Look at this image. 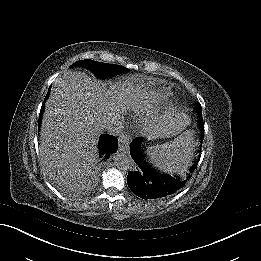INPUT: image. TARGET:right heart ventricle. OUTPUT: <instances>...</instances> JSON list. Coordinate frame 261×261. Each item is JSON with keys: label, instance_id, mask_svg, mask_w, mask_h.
I'll return each mask as SVG.
<instances>
[{"label": "right heart ventricle", "instance_id": "e07e8e85", "mask_svg": "<svg viewBox=\"0 0 261 261\" xmlns=\"http://www.w3.org/2000/svg\"><path fill=\"white\" fill-rule=\"evenodd\" d=\"M161 97H163L164 99H167L168 97L167 96H161ZM158 102V101H157ZM151 105H149V107H150ZM155 106H162V104H160V103H157Z\"/></svg>", "mask_w": 261, "mask_h": 261}]
</instances>
